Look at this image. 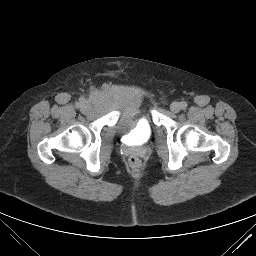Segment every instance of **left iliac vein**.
<instances>
[{
	"instance_id": "left-iliac-vein-1",
	"label": "left iliac vein",
	"mask_w": 256,
	"mask_h": 256,
	"mask_svg": "<svg viewBox=\"0 0 256 256\" xmlns=\"http://www.w3.org/2000/svg\"><path fill=\"white\" fill-rule=\"evenodd\" d=\"M170 109L174 113H178L181 110V105L178 102H173L170 105Z\"/></svg>"
}]
</instances>
